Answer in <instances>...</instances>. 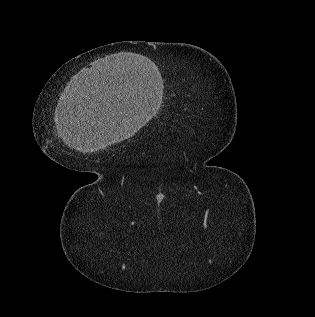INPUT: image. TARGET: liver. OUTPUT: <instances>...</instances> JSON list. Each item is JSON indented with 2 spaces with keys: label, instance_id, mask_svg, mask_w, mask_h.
<instances>
[{
  "label": "liver",
  "instance_id": "obj_1",
  "mask_svg": "<svg viewBox=\"0 0 315 317\" xmlns=\"http://www.w3.org/2000/svg\"><path fill=\"white\" fill-rule=\"evenodd\" d=\"M62 110L63 115L57 114L56 118L63 141L83 153L130 138L141 127L114 107L101 109L94 99L69 103Z\"/></svg>",
  "mask_w": 315,
  "mask_h": 317
}]
</instances>
